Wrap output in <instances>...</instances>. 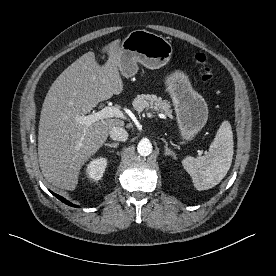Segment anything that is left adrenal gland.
<instances>
[{
	"instance_id": "obj_1",
	"label": "left adrenal gland",
	"mask_w": 276,
	"mask_h": 276,
	"mask_svg": "<svg viewBox=\"0 0 276 276\" xmlns=\"http://www.w3.org/2000/svg\"><path fill=\"white\" fill-rule=\"evenodd\" d=\"M161 140L165 144V146H164V148H165V155L171 156L173 159H176V154L169 149L167 141L165 139H163V138Z\"/></svg>"
}]
</instances>
